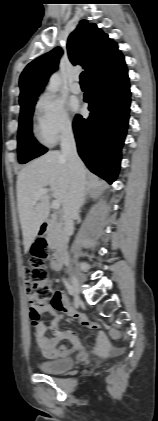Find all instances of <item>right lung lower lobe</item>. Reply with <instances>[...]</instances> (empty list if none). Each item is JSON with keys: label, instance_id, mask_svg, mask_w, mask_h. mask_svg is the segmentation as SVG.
<instances>
[{"label": "right lung lower lobe", "instance_id": "obj_1", "mask_svg": "<svg viewBox=\"0 0 158 421\" xmlns=\"http://www.w3.org/2000/svg\"><path fill=\"white\" fill-rule=\"evenodd\" d=\"M90 116L76 115L73 130L78 153L95 174L115 181L129 119L130 87L122 54L89 77L84 96Z\"/></svg>", "mask_w": 158, "mask_h": 421}]
</instances>
